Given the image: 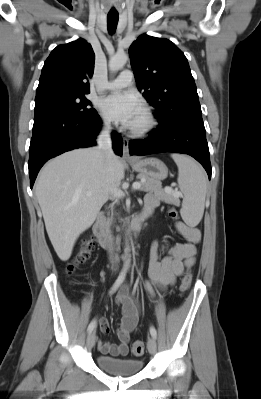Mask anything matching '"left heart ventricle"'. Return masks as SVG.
Returning a JSON list of instances; mask_svg holds the SVG:
<instances>
[{"label":"left heart ventricle","instance_id":"b2bd125f","mask_svg":"<svg viewBox=\"0 0 261 399\" xmlns=\"http://www.w3.org/2000/svg\"><path fill=\"white\" fill-rule=\"evenodd\" d=\"M143 122V114L137 119V121L134 123V125L132 127H136L141 125Z\"/></svg>","mask_w":261,"mask_h":399}]
</instances>
